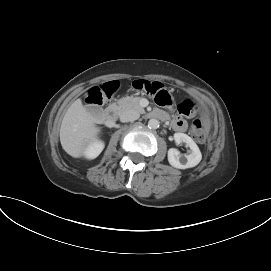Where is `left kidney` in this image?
Masks as SVG:
<instances>
[{"label": "left kidney", "mask_w": 271, "mask_h": 271, "mask_svg": "<svg viewBox=\"0 0 271 271\" xmlns=\"http://www.w3.org/2000/svg\"><path fill=\"white\" fill-rule=\"evenodd\" d=\"M174 140L177 144L185 143L191 149V153L182 157L177 149L170 148L168 150V161L171 166L178 169H186L195 167L200 163L202 154L191 137L184 133H175Z\"/></svg>", "instance_id": "left-kidney-1"}]
</instances>
